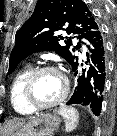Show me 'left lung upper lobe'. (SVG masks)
I'll list each match as a JSON object with an SVG mask.
<instances>
[{"label":"left lung upper lobe","instance_id":"left-lung-upper-lobe-1","mask_svg":"<svg viewBox=\"0 0 117 136\" xmlns=\"http://www.w3.org/2000/svg\"><path fill=\"white\" fill-rule=\"evenodd\" d=\"M98 29V21L82 0H38L33 14L16 33L8 74L26 56L40 51H55L71 65L77 58L74 52L80 49V43L72 45V37L78 34L86 39ZM59 30H65L69 37L58 35ZM60 39L64 43H59Z\"/></svg>","mask_w":117,"mask_h":136}]
</instances>
